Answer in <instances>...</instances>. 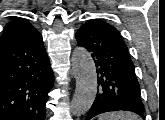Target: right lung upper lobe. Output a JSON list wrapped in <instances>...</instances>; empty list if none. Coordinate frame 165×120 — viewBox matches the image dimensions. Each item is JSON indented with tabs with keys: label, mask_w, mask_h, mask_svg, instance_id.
<instances>
[{
	"label": "right lung upper lobe",
	"mask_w": 165,
	"mask_h": 120,
	"mask_svg": "<svg viewBox=\"0 0 165 120\" xmlns=\"http://www.w3.org/2000/svg\"><path fill=\"white\" fill-rule=\"evenodd\" d=\"M36 33H38V31L31 25V23L24 19H15L5 26L0 39V48L31 37Z\"/></svg>",
	"instance_id": "right-lung-upper-lobe-1"
}]
</instances>
